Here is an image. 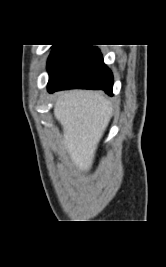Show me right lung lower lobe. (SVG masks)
Here are the masks:
<instances>
[{
  "mask_svg": "<svg viewBox=\"0 0 166 267\" xmlns=\"http://www.w3.org/2000/svg\"><path fill=\"white\" fill-rule=\"evenodd\" d=\"M48 92L100 89L112 96L113 75L102 54L91 45H55L48 58Z\"/></svg>",
  "mask_w": 166,
  "mask_h": 267,
  "instance_id": "1",
  "label": "right lung lower lobe"
}]
</instances>
